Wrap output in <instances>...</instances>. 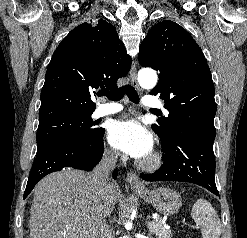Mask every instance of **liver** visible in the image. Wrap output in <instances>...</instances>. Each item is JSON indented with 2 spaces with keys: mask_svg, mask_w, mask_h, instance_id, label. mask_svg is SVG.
Returning <instances> with one entry per match:
<instances>
[{
  "mask_svg": "<svg viewBox=\"0 0 247 238\" xmlns=\"http://www.w3.org/2000/svg\"><path fill=\"white\" fill-rule=\"evenodd\" d=\"M116 195L112 184L98 193L83 171L66 168L49 174L34 189L30 238H99Z\"/></svg>",
  "mask_w": 247,
  "mask_h": 238,
  "instance_id": "1",
  "label": "liver"
}]
</instances>
